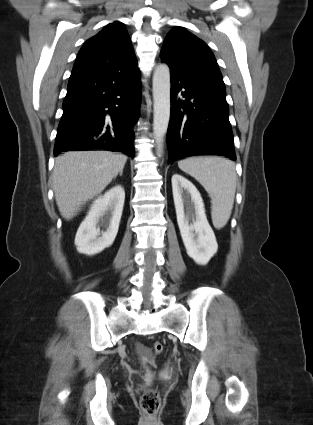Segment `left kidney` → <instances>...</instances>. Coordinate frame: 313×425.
<instances>
[{
	"label": "left kidney",
	"mask_w": 313,
	"mask_h": 425,
	"mask_svg": "<svg viewBox=\"0 0 313 425\" xmlns=\"http://www.w3.org/2000/svg\"><path fill=\"white\" fill-rule=\"evenodd\" d=\"M171 181L177 223L187 254L197 264L206 265L217 252L218 244L207 221L202 197L183 176L174 174Z\"/></svg>",
	"instance_id": "left-kidney-1"
}]
</instances>
